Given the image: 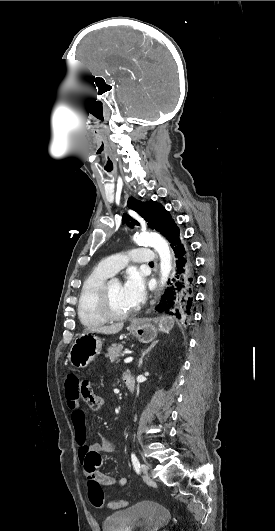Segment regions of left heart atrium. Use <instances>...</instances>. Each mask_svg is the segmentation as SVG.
I'll return each instance as SVG.
<instances>
[{"instance_id": "1", "label": "left heart atrium", "mask_w": 275, "mask_h": 531, "mask_svg": "<svg viewBox=\"0 0 275 531\" xmlns=\"http://www.w3.org/2000/svg\"><path fill=\"white\" fill-rule=\"evenodd\" d=\"M123 292L129 302L134 308L142 301L145 290V278L143 274L136 268H131L126 272L123 283Z\"/></svg>"}]
</instances>
